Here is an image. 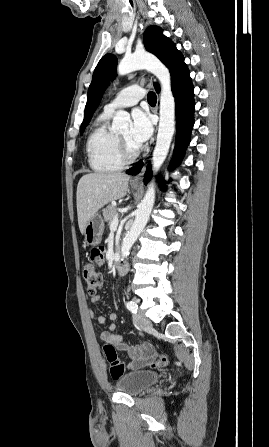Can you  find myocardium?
<instances>
[{
	"label": "myocardium",
	"instance_id": "f54148a6",
	"mask_svg": "<svg viewBox=\"0 0 269 447\" xmlns=\"http://www.w3.org/2000/svg\"><path fill=\"white\" fill-rule=\"evenodd\" d=\"M116 141L120 160L124 164L133 162L141 153V148L133 150L120 136L116 134Z\"/></svg>",
	"mask_w": 269,
	"mask_h": 447
}]
</instances>
